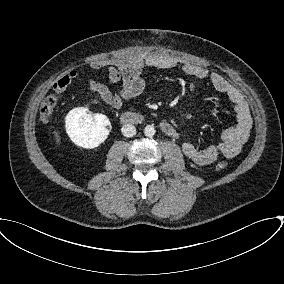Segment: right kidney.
<instances>
[{"label": "right kidney", "mask_w": 284, "mask_h": 284, "mask_svg": "<svg viewBox=\"0 0 284 284\" xmlns=\"http://www.w3.org/2000/svg\"><path fill=\"white\" fill-rule=\"evenodd\" d=\"M66 132L72 142L83 148L93 149L103 143L111 130L106 115L93 114L85 107L72 109L65 118Z\"/></svg>", "instance_id": "ca27d5eb"}]
</instances>
